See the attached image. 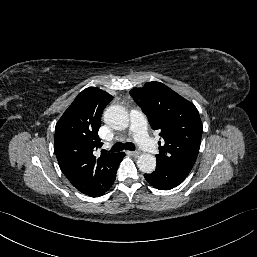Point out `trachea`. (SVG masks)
I'll use <instances>...</instances> for the list:
<instances>
[{"mask_svg":"<svg viewBox=\"0 0 257 257\" xmlns=\"http://www.w3.org/2000/svg\"><path fill=\"white\" fill-rule=\"evenodd\" d=\"M130 150V151H134L135 150V145L132 142H126V143H121V142H117L113 145V147L111 148V152H119L122 150Z\"/></svg>","mask_w":257,"mask_h":257,"instance_id":"obj_1","label":"trachea"}]
</instances>
